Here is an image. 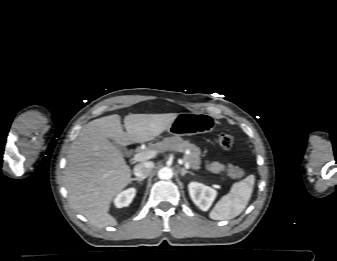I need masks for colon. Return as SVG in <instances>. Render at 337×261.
<instances>
[{"instance_id":"1","label":"colon","mask_w":337,"mask_h":261,"mask_svg":"<svg viewBox=\"0 0 337 261\" xmlns=\"http://www.w3.org/2000/svg\"><path fill=\"white\" fill-rule=\"evenodd\" d=\"M217 142L222 149H229L233 145L234 138L230 134L223 133L218 136ZM227 173L234 179H242L245 177L243 170L231 164L227 166Z\"/></svg>"}]
</instances>
